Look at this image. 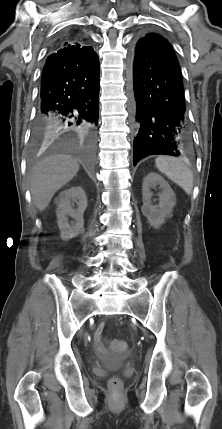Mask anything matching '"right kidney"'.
Segmentation results:
<instances>
[{"label": "right kidney", "instance_id": "1", "mask_svg": "<svg viewBox=\"0 0 222 429\" xmlns=\"http://www.w3.org/2000/svg\"><path fill=\"white\" fill-rule=\"evenodd\" d=\"M57 202V224L61 232V238L68 240L76 237L83 230V214L87 208V197L81 186H74L60 192ZM73 202L77 204L74 209ZM68 216L75 222L69 224Z\"/></svg>", "mask_w": 222, "mask_h": 429}]
</instances>
